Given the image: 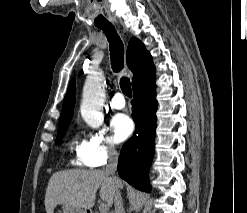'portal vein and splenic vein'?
I'll list each match as a JSON object with an SVG mask.
<instances>
[{"instance_id": "18ae733b", "label": "portal vein and splenic vein", "mask_w": 247, "mask_h": 213, "mask_svg": "<svg viewBox=\"0 0 247 213\" xmlns=\"http://www.w3.org/2000/svg\"><path fill=\"white\" fill-rule=\"evenodd\" d=\"M99 210L101 213H107L109 211V206L106 203H101L99 206Z\"/></svg>"}]
</instances>
